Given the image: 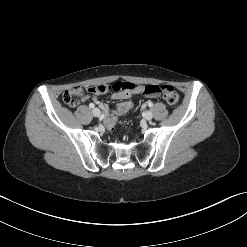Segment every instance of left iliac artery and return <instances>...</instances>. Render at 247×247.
Returning a JSON list of instances; mask_svg holds the SVG:
<instances>
[{"label":"left iliac artery","mask_w":247,"mask_h":247,"mask_svg":"<svg viewBox=\"0 0 247 247\" xmlns=\"http://www.w3.org/2000/svg\"><path fill=\"white\" fill-rule=\"evenodd\" d=\"M148 106L149 107H152L153 106V103L151 101L148 102Z\"/></svg>","instance_id":"left-iliac-artery-1"}]
</instances>
